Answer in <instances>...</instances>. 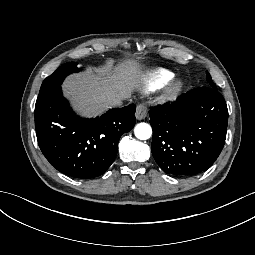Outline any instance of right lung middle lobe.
<instances>
[{
	"mask_svg": "<svg viewBox=\"0 0 255 255\" xmlns=\"http://www.w3.org/2000/svg\"><path fill=\"white\" fill-rule=\"evenodd\" d=\"M80 70L81 69L77 67V62H68L63 64L52 75L43 81L39 91V96L48 91L61 88V83L66 76L74 72H79Z\"/></svg>",
	"mask_w": 255,
	"mask_h": 255,
	"instance_id": "1",
	"label": "right lung middle lobe"
}]
</instances>
